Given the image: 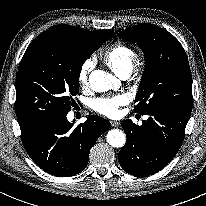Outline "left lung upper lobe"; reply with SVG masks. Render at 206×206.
<instances>
[{"mask_svg": "<svg viewBox=\"0 0 206 206\" xmlns=\"http://www.w3.org/2000/svg\"><path fill=\"white\" fill-rule=\"evenodd\" d=\"M118 37L136 42L145 55L134 111L142 115L157 107L191 111L192 75L180 42L165 29L150 23L125 29Z\"/></svg>", "mask_w": 206, "mask_h": 206, "instance_id": "1", "label": "left lung upper lobe"}]
</instances>
